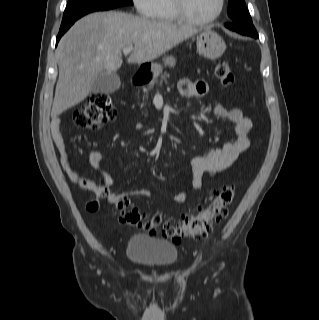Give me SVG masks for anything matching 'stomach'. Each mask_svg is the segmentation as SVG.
<instances>
[{
  "label": "stomach",
  "instance_id": "0dacf381",
  "mask_svg": "<svg viewBox=\"0 0 319 320\" xmlns=\"http://www.w3.org/2000/svg\"><path fill=\"white\" fill-rule=\"evenodd\" d=\"M226 49V44L221 36L212 29H205L197 35V51L200 55L215 60L221 57ZM164 64L169 67H174L176 60L173 56H168ZM152 77L157 78L162 72L160 64L152 63L150 66Z\"/></svg>",
  "mask_w": 319,
  "mask_h": 320
}]
</instances>
